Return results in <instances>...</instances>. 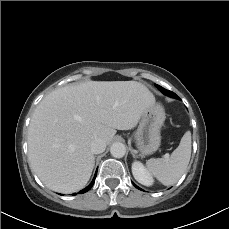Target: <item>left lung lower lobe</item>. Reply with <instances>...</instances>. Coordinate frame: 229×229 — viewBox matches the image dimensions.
<instances>
[{
  "instance_id": "1",
  "label": "left lung lower lobe",
  "mask_w": 229,
  "mask_h": 229,
  "mask_svg": "<svg viewBox=\"0 0 229 229\" xmlns=\"http://www.w3.org/2000/svg\"><path fill=\"white\" fill-rule=\"evenodd\" d=\"M170 97H174V98L180 99L174 92L171 93ZM133 185H134L136 188L140 189V188L137 187L134 183H133ZM140 190H141V189H140Z\"/></svg>"
}]
</instances>
